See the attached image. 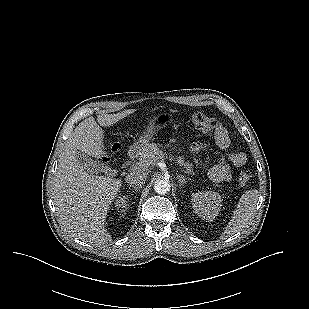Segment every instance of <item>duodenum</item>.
<instances>
[{
    "mask_svg": "<svg viewBox=\"0 0 309 309\" xmlns=\"http://www.w3.org/2000/svg\"><path fill=\"white\" fill-rule=\"evenodd\" d=\"M137 155H138V150H137V148H131L130 150H129V152H128V157H129V159H131V160H134L136 157H137Z\"/></svg>",
    "mask_w": 309,
    "mask_h": 309,
    "instance_id": "obj_1",
    "label": "duodenum"
}]
</instances>
